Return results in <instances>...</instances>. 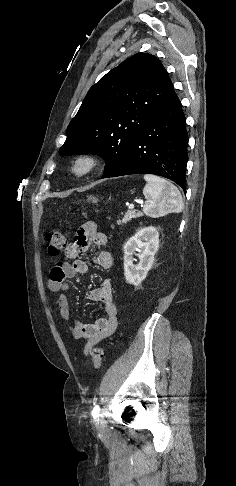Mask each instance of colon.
Wrapping results in <instances>:
<instances>
[{
    "label": "colon",
    "instance_id": "1",
    "mask_svg": "<svg viewBox=\"0 0 236 486\" xmlns=\"http://www.w3.org/2000/svg\"><path fill=\"white\" fill-rule=\"evenodd\" d=\"M48 251L50 255H56L67 246V236L61 231H51L47 235ZM90 356L95 369H100L103 361V350L100 347H93Z\"/></svg>",
    "mask_w": 236,
    "mask_h": 486
}]
</instances>
